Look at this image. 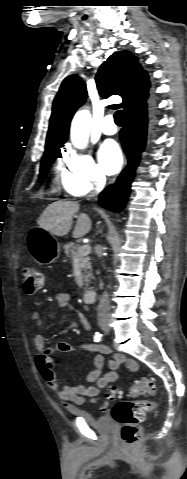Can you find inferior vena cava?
I'll use <instances>...</instances> for the list:
<instances>
[{"mask_svg": "<svg viewBox=\"0 0 187 479\" xmlns=\"http://www.w3.org/2000/svg\"><path fill=\"white\" fill-rule=\"evenodd\" d=\"M104 183H105V179H101L98 183V187H97V190L101 187L104 186ZM95 193L96 192H91L87 198L90 199V198H93L95 196ZM110 316V300H109V295L107 293V291L103 292L101 298H100V302H99V305H98V319L99 320H102V319H106Z\"/></svg>", "mask_w": 187, "mask_h": 479, "instance_id": "1", "label": "inferior vena cava"}]
</instances>
